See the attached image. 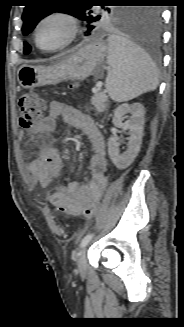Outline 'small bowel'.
<instances>
[{
  "instance_id": "small-bowel-1",
  "label": "small bowel",
  "mask_w": 184,
  "mask_h": 327,
  "mask_svg": "<svg viewBox=\"0 0 184 327\" xmlns=\"http://www.w3.org/2000/svg\"><path fill=\"white\" fill-rule=\"evenodd\" d=\"M81 130L88 138L93 155L90 160L91 177L85 182L62 181V159L59 152L47 146L40 147V154L32 160L29 172L35 185L47 192V198L53 206H64L67 215L84 214L85 206H95L107 184V158L103 135L89 116L60 100L50 102L49 115L34 129L33 136L50 133L57 128V119ZM80 159H70L71 170H78ZM52 185H57L52 190Z\"/></svg>"
}]
</instances>
